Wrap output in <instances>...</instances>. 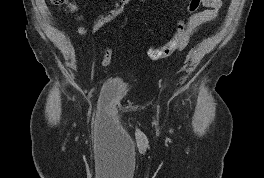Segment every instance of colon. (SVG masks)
<instances>
[{"label":"colon","instance_id":"colon-1","mask_svg":"<svg viewBox=\"0 0 264 178\" xmlns=\"http://www.w3.org/2000/svg\"><path fill=\"white\" fill-rule=\"evenodd\" d=\"M51 2L58 6H69L73 8L70 0H51ZM206 0H190L185 14L177 24L176 31L173 37L163 46L158 48H150L147 52L152 60L165 59L171 56L175 51L185 48L194 32L190 26V19L195 15L201 6L205 5ZM113 61V53L111 49H106L103 53L102 62L104 65H110Z\"/></svg>","mask_w":264,"mask_h":178}]
</instances>
